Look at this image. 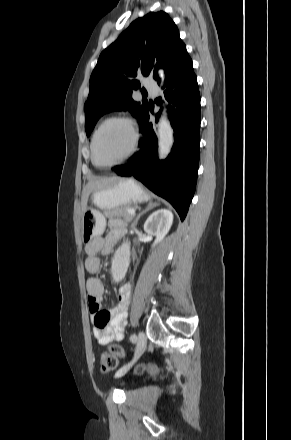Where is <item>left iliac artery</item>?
<instances>
[{
  "mask_svg": "<svg viewBox=\"0 0 291 440\" xmlns=\"http://www.w3.org/2000/svg\"><path fill=\"white\" fill-rule=\"evenodd\" d=\"M136 340H137L136 335H135V334H131V335H130V341L133 342V343H135Z\"/></svg>",
  "mask_w": 291,
  "mask_h": 440,
  "instance_id": "1",
  "label": "left iliac artery"
}]
</instances>
